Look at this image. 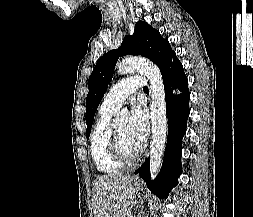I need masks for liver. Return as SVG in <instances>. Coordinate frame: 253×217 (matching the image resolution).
<instances>
[{
	"label": "liver",
	"mask_w": 253,
	"mask_h": 217,
	"mask_svg": "<svg viewBox=\"0 0 253 217\" xmlns=\"http://www.w3.org/2000/svg\"><path fill=\"white\" fill-rule=\"evenodd\" d=\"M133 179L121 174L97 178L92 194L94 217H124L136 193Z\"/></svg>",
	"instance_id": "1"
}]
</instances>
